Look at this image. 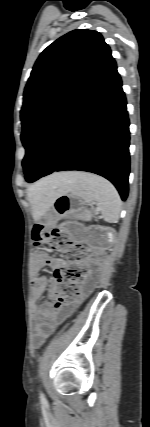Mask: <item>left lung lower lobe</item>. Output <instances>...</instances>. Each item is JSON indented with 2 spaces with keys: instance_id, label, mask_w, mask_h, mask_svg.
Instances as JSON below:
<instances>
[{
  "instance_id": "1",
  "label": "left lung lower lobe",
  "mask_w": 150,
  "mask_h": 427,
  "mask_svg": "<svg viewBox=\"0 0 150 427\" xmlns=\"http://www.w3.org/2000/svg\"><path fill=\"white\" fill-rule=\"evenodd\" d=\"M129 119L121 78L113 60L65 105L34 139L25 179L32 183L54 171L101 175L128 196Z\"/></svg>"
}]
</instances>
